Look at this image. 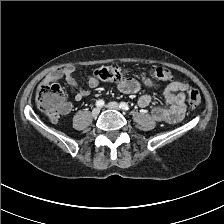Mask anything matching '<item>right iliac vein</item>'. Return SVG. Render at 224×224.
<instances>
[{
  "mask_svg": "<svg viewBox=\"0 0 224 224\" xmlns=\"http://www.w3.org/2000/svg\"><path fill=\"white\" fill-rule=\"evenodd\" d=\"M99 113H100V108L99 107H96V108H94L93 110H92V116L93 117H96V116H98L99 115Z\"/></svg>",
  "mask_w": 224,
  "mask_h": 224,
  "instance_id": "1",
  "label": "right iliac vein"
}]
</instances>
